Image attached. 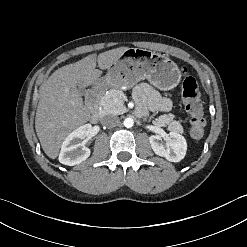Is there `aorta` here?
Returning a JSON list of instances; mask_svg holds the SVG:
<instances>
[{"label": "aorta", "mask_w": 247, "mask_h": 247, "mask_svg": "<svg viewBox=\"0 0 247 247\" xmlns=\"http://www.w3.org/2000/svg\"><path fill=\"white\" fill-rule=\"evenodd\" d=\"M123 124L126 128H131L134 125V120L130 117H127L125 118Z\"/></svg>", "instance_id": "1"}]
</instances>
